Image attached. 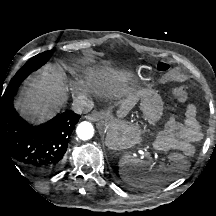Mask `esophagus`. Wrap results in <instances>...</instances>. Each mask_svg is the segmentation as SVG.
<instances>
[{
  "instance_id": "34e87169",
  "label": "esophagus",
  "mask_w": 216,
  "mask_h": 216,
  "mask_svg": "<svg viewBox=\"0 0 216 216\" xmlns=\"http://www.w3.org/2000/svg\"><path fill=\"white\" fill-rule=\"evenodd\" d=\"M105 117V113L101 112V111H93L90 114H88L86 116V119L90 120V121H99L102 120Z\"/></svg>"
}]
</instances>
